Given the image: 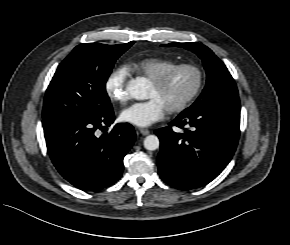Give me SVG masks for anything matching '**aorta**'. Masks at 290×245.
<instances>
[{
    "label": "aorta",
    "mask_w": 290,
    "mask_h": 245,
    "mask_svg": "<svg viewBox=\"0 0 290 245\" xmlns=\"http://www.w3.org/2000/svg\"><path fill=\"white\" fill-rule=\"evenodd\" d=\"M127 91L136 100L147 99L149 95V83L143 77L132 79L127 84ZM159 145V138L156 135H148L144 139V147L149 151L158 149Z\"/></svg>",
    "instance_id": "762f6f07"
}]
</instances>
